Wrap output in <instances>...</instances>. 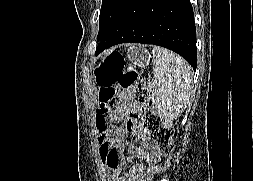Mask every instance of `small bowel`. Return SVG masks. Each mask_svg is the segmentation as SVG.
Segmentation results:
<instances>
[{
  "label": "small bowel",
  "instance_id": "c3829d8e",
  "mask_svg": "<svg viewBox=\"0 0 253 181\" xmlns=\"http://www.w3.org/2000/svg\"><path fill=\"white\" fill-rule=\"evenodd\" d=\"M133 107L132 93L121 92L108 115L98 116L94 125L100 158L110 181H151L152 178L149 164L157 154L152 141L141 134L132 118H127L123 127L116 126L122 116L130 114ZM128 132L133 134L138 148L128 147V153L123 159L122 153L126 147L118 134ZM136 159L141 162L135 163Z\"/></svg>",
  "mask_w": 253,
  "mask_h": 181
}]
</instances>
